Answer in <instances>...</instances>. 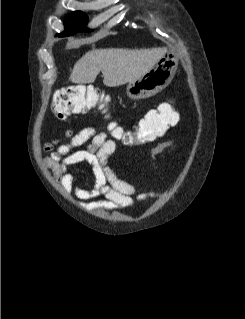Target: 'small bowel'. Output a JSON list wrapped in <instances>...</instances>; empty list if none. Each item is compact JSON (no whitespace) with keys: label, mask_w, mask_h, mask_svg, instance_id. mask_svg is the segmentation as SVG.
<instances>
[{"label":"small bowel","mask_w":245,"mask_h":319,"mask_svg":"<svg viewBox=\"0 0 245 319\" xmlns=\"http://www.w3.org/2000/svg\"><path fill=\"white\" fill-rule=\"evenodd\" d=\"M163 106L170 105L165 103L159 108ZM86 144V148H81ZM171 144L170 140L158 143L151 149L150 157L159 155ZM116 148L113 139L94 127L78 132L67 129L61 138L52 139L44 145V150L49 153L44 162L63 189L67 192L74 191L80 200L104 197L102 201L84 203V207L90 210H117L132 206L136 198L141 201L154 198L156 193L153 191L137 195L135 186L118 177L109 166L108 159ZM82 163L88 164L94 174L95 183L91 190L78 185L75 175L68 172L69 167ZM151 167L154 168L153 163Z\"/></svg>","instance_id":"small-bowel-1"}]
</instances>
